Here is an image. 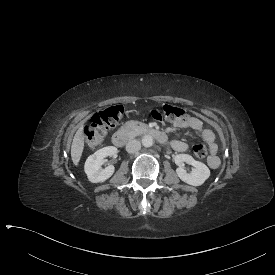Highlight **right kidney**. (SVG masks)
<instances>
[{
    "label": "right kidney",
    "instance_id": "right-kidney-1",
    "mask_svg": "<svg viewBox=\"0 0 275 275\" xmlns=\"http://www.w3.org/2000/svg\"><path fill=\"white\" fill-rule=\"evenodd\" d=\"M117 154V148L114 146L104 147L99 149L94 154L90 155L84 165L85 173L89 181L92 183L104 182L114 173V166L109 165L105 169L101 168L104 163V158L107 156H114Z\"/></svg>",
    "mask_w": 275,
    "mask_h": 275
}]
</instances>
